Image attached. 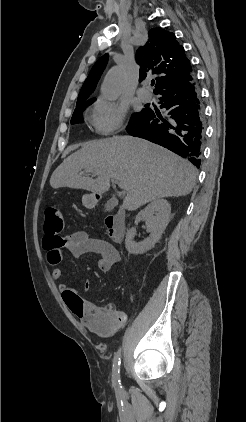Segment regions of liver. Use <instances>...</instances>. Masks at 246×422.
<instances>
[{"label": "liver", "instance_id": "liver-1", "mask_svg": "<svg viewBox=\"0 0 246 422\" xmlns=\"http://www.w3.org/2000/svg\"><path fill=\"white\" fill-rule=\"evenodd\" d=\"M82 170L97 178L83 175ZM195 179V167L171 151L144 139L115 136L85 143L56 168L50 185L102 195L110 181L118 180L127 191L123 207L133 211L163 197L188 195Z\"/></svg>", "mask_w": 246, "mask_h": 422}]
</instances>
